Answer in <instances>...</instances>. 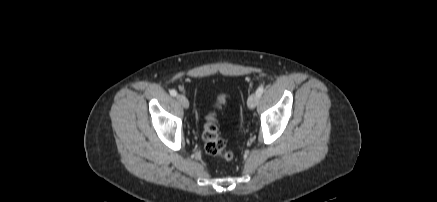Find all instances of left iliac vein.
<instances>
[{
  "instance_id": "obj_1",
  "label": "left iliac vein",
  "mask_w": 437,
  "mask_h": 202,
  "mask_svg": "<svg viewBox=\"0 0 437 202\" xmlns=\"http://www.w3.org/2000/svg\"><path fill=\"white\" fill-rule=\"evenodd\" d=\"M259 97L256 94H251L247 100V105L250 109H254L258 103Z\"/></svg>"
}]
</instances>
